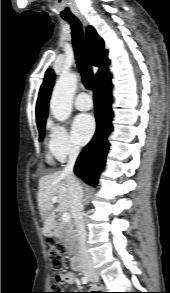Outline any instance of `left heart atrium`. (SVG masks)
Listing matches in <instances>:
<instances>
[{"label": "left heart atrium", "mask_w": 170, "mask_h": 293, "mask_svg": "<svg viewBox=\"0 0 170 293\" xmlns=\"http://www.w3.org/2000/svg\"><path fill=\"white\" fill-rule=\"evenodd\" d=\"M95 120L90 114H79L72 122V136L80 144H86L95 132Z\"/></svg>", "instance_id": "left-heart-atrium-1"}]
</instances>
